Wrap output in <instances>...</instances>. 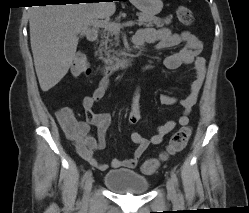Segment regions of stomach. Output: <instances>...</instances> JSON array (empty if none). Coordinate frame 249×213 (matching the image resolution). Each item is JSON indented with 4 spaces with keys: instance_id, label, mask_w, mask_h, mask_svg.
<instances>
[{
    "instance_id": "1",
    "label": "stomach",
    "mask_w": 249,
    "mask_h": 213,
    "mask_svg": "<svg viewBox=\"0 0 249 213\" xmlns=\"http://www.w3.org/2000/svg\"><path fill=\"white\" fill-rule=\"evenodd\" d=\"M132 4L147 15H156L163 8L162 0H130Z\"/></svg>"
}]
</instances>
